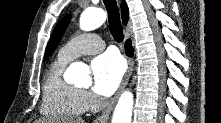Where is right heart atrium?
Instances as JSON below:
<instances>
[{"label": "right heart atrium", "instance_id": "d8ad5b80", "mask_svg": "<svg viewBox=\"0 0 221 123\" xmlns=\"http://www.w3.org/2000/svg\"><path fill=\"white\" fill-rule=\"evenodd\" d=\"M83 99L86 105V109H92L97 103L96 97L90 92H83Z\"/></svg>", "mask_w": 221, "mask_h": 123}]
</instances>
